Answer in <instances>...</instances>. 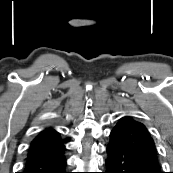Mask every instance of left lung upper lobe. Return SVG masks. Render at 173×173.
I'll use <instances>...</instances> for the list:
<instances>
[{
  "label": "left lung upper lobe",
  "instance_id": "1",
  "mask_svg": "<svg viewBox=\"0 0 173 173\" xmlns=\"http://www.w3.org/2000/svg\"><path fill=\"white\" fill-rule=\"evenodd\" d=\"M110 142L157 157L154 141L146 127L130 117H123L119 120L111 131Z\"/></svg>",
  "mask_w": 173,
  "mask_h": 173
}]
</instances>
